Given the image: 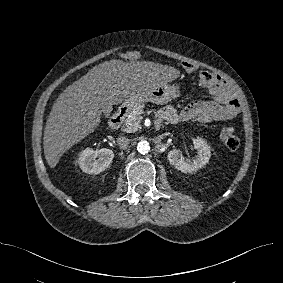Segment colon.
Masks as SVG:
<instances>
[{
    "mask_svg": "<svg viewBox=\"0 0 283 283\" xmlns=\"http://www.w3.org/2000/svg\"><path fill=\"white\" fill-rule=\"evenodd\" d=\"M184 67L186 68L185 64ZM220 138L224 145L231 151L237 150L240 145L239 138L233 133L230 127L224 126L220 131Z\"/></svg>",
    "mask_w": 283,
    "mask_h": 283,
    "instance_id": "1",
    "label": "colon"
}]
</instances>
